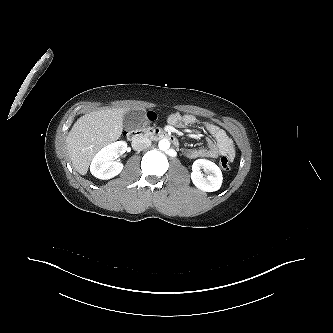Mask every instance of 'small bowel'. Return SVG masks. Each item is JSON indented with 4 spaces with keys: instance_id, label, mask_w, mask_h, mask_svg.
<instances>
[{
    "instance_id": "obj_1",
    "label": "small bowel",
    "mask_w": 333,
    "mask_h": 333,
    "mask_svg": "<svg viewBox=\"0 0 333 333\" xmlns=\"http://www.w3.org/2000/svg\"><path fill=\"white\" fill-rule=\"evenodd\" d=\"M167 122L173 127L201 125L213 137V140H207L205 147L187 150L185 154L188 158H218L220 156H228L230 160L234 159L235 150L232 139L214 122H201L189 113H173L169 115Z\"/></svg>"
}]
</instances>
